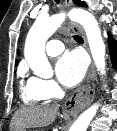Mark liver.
<instances>
[{"mask_svg": "<svg viewBox=\"0 0 117 131\" xmlns=\"http://www.w3.org/2000/svg\"><path fill=\"white\" fill-rule=\"evenodd\" d=\"M59 106H30L19 109L10 123V131L25 130L30 127H44L52 124Z\"/></svg>", "mask_w": 117, "mask_h": 131, "instance_id": "6515ba94", "label": "liver"}]
</instances>
